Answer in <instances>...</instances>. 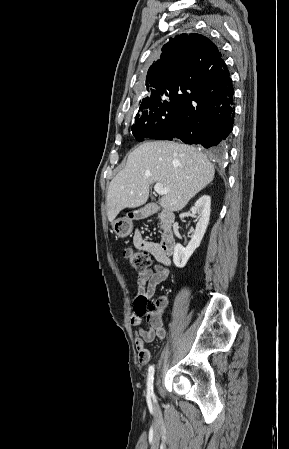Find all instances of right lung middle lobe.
<instances>
[{
	"label": "right lung middle lobe",
	"mask_w": 289,
	"mask_h": 449,
	"mask_svg": "<svg viewBox=\"0 0 289 449\" xmlns=\"http://www.w3.org/2000/svg\"><path fill=\"white\" fill-rule=\"evenodd\" d=\"M178 89L161 90L142 99L134 117L132 133L138 141L152 138L168 127L177 115Z\"/></svg>",
	"instance_id": "dd1d6c3e"
}]
</instances>
